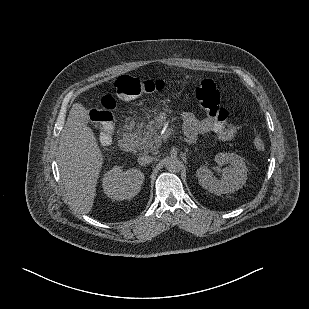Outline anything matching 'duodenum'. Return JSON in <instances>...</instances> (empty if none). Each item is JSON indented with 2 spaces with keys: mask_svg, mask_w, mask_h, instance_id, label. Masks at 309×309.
Wrapping results in <instances>:
<instances>
[{
  "mask_svg": "<svg viewBox=\"0 0 309 309\" xmlns=\"http://www.w3.org/2000/svg\"><path fill=\"white\" fill-rule=\"evenodd\" d=\"M135 140L130 132H127L119 139V147L123 152H131L134 149Z\"/></svg>",
  "mask_w": 309,
  "mask_h": 309,
  "instance_id": "410a0bca",
  "label": "duodenum"
}]
</instances>
